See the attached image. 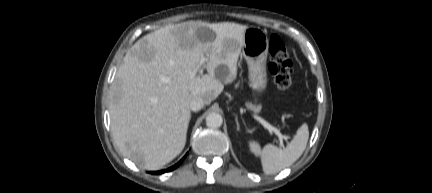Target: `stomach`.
Masks as SVG:
<instances>
[{"instance_id":"stomach-1","label":"stomach","mask_w":432,"mask_h":193,"mask_svg":"<svg viewBox=\"0 0 432 193\" xmlns=\"http://www.w3.org/2000/svg\"><path fill=\"white\" fill-rule=\"evenodd\" d=\"M268 49L267 32L259 27H248L243 36L242 55L248 64L250 87L257 92H262L267 86Z\"/></svg>"}]
</instances>
